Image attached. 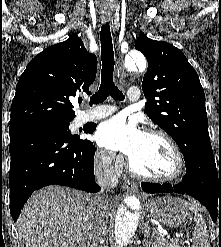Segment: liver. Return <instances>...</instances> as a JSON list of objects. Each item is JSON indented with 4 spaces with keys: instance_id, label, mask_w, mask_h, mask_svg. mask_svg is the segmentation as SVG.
<instances>
[{
    "instance_id": "1",
    "label": "liver",
    "mask_w": 221,
    "mask_h": 247,
    "mask_svg": "<svg viewBox=\"0 0 221 247\" xmlns=\"http://www.w3.org/2000/svg\"><path fill=\"white\" fill-rule=\"evenodd\" d=\"M94 197L82 191L49 186L33 194L17 220L25 247H91ZM108 212L112 203H107Z\"/></svg>"
}]
</instances>
